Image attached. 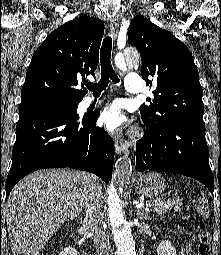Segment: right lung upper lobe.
Segmentation results:
<instances>
[{
	"mask_svg": "<svg viewBox=\"0 0 221 255\" xmlns=\"http://www.w3.org/2000/svg\"><path fill=\"white\" fill-rule=\"evenodd\" d=\"M104 34L101 20L81 16L50 33L34 53L21 90L20 110L46 103H76L94 76ZM81 83L83 90L76 86Z\"/></svg>",
	"mask_w": 221,
	"mask_h": 255,
	"instance_id": "right-lung-upper-lobe-1",
	"label": "right lung upper lobe"
}]
</instances>
